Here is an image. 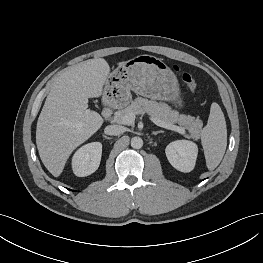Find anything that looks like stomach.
I'll return each instance as SVG.
<instances>
[{"label":"stomach","instance_id":"1","mask_svg":"<svg viewBox=\"0 0 263 263\" xmlns=\"http://www.w3.org/2000/svg\"><path fill=\"white\" fill-rule=\"evenodd\" d=\"M130 91L151 99L173 102L176 108L184 106L175 74L155 56L139 55L119 65L107 77L105 95L127 103Z\"/></svg>","mask_w":263,"mask_h":263}]
</instances>
